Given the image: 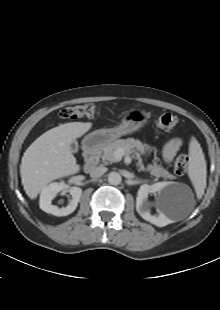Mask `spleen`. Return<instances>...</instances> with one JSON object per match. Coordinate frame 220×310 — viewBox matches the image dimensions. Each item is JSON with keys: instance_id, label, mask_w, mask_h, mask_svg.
Returning <instances> with one entry per match:
<instances>
[{"instance_id": "obj_1", "label": "spleen", "mask_w": 220, "mask_h": 310, "mask_svg": "<svg viewBox=\"0 0 220 310\" xmlns=\"http://www.w3.org/2000/svg\"><path fill=\"white\" fill-rule=\"evenodd\" d=\"M188 176L194 186L197 197L201 198L206 188V161L202 148L195 138H192L189 146Z\"/></svg>"}]
</instances>
